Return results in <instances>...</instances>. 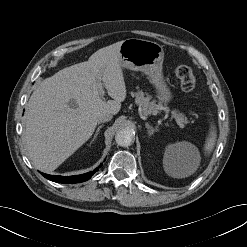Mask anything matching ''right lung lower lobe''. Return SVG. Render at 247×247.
Here are the masks:
<instances>
[{"label": "right lung lower lobe", "instance_id": "98d812e1", "mask_svg": "<svg viewBox=\"0 0 247 247\" xmlns=\"http://www.w3.org/2000/svg\"><path fill=\"white\" fill-rule=\"evenodd\" d=\"M101 167V165L99 167H97L94 171L92 172H88L85 174H81V175H75V176H68V177H63V176H53V175H48L45 173H41L45 178L57 182V183H80V182H84L87 181L88 179L91 178V176L97 172L99 170V168Z\"/></svg>", "mask_w": 247, "mask_h": 247}]
</instances>
